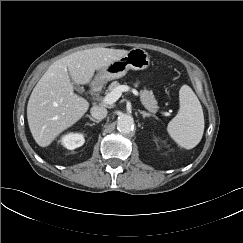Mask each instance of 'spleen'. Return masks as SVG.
<instances>
[{
	"label": "spleen",
	"mask_w": 243,
	"mask_h": 243,
	"mask_svg": "<svg viewBox=\"0 0 243 243\" xmlns=\"http://www.w3.org/2000/svg\"><path fill=\"white\" fill-rule=\"evenodd\" d=\"M179 100V112L169 122L167 132L180 147L192 149L199 144L204 132L202 106L188 85L180 88Z\"/></svg>",
	"instance_id": "3e777b00"
}]
</instances>
